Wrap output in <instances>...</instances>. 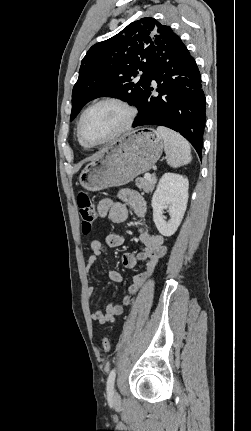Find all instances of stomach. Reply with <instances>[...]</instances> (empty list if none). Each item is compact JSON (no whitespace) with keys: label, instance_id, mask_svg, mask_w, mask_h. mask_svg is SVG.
I'll return each mask as SVG.
<instances>
[{"label":"stomach","instance_id":"obj_1","mask_svg":"<svg viewBox=\"0 0 251 431\" xmlns=\"http://www.w3.org/2000/svg\"><path fill=\"white\" fill-rule=\"evenodd\" d=\"M163 148L164 142L155 130H134L98 153L81 171L79 182L89 191L125 185L149 171Z\"/></svg>","mask_w":251,"mask_h":431}]
</instances>
